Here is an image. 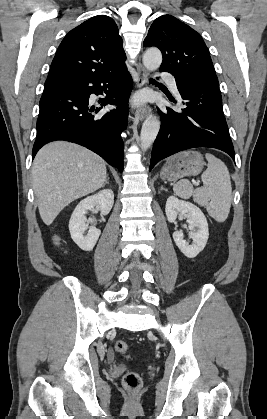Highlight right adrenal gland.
<instances>
[{
	"label": "right adrenal gland",
	"instance_id": "1",
	"mask_svg": "<svg viewBox=\"0 0 267 419\" xmlns=\"http://www.w3.org/2000/svg\"><path fill=\"white\" fill-rule=\"evenodd\" d=\"M109 177H107V179L105 180V182H104V184H103V187L106 185V184H109Z\"/></svg>",
	"mask_w": 267,
	"mask_h": 419
}]
</instances>
